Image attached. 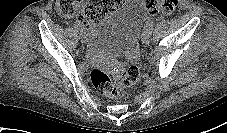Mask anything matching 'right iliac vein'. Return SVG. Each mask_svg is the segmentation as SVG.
<instances>
[{"mask_svg": "<svg viewBox=\"0 0 227 133\" xmlns=\"http://www.w3.org/2000/svg\"><path fill=\"white\" fill-rule=\"evenodd\" d=\"M79 38H80L82 43H86L87 39H86V36L83 32L79 33Z\"/></svg>", "mask_w": 227, "mask_h": 133, "instance_id": "1", "label": "right iliac vein"}]
</instances>
